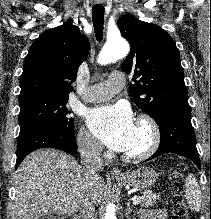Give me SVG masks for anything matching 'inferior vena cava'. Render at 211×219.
I'll list each match as a JSON object with an SVG mask.
<instances>
[{
    "label": "inferior vena cava",
    "mask_w": 211,
    "mask_h": 219,
    "mask_svg": "<svg viewBox=\"0 0 211 219\" xmlns=\"http://www.w3.org/2000/svg\"><path fill=\"white\" fill-rule=\"evenodd\" d=\"M79 152L86 177L93 179L96 173L103 169L101 144L95 142L91 138H86L80 142ZM79 218L96 219L94 205L87 201L84 202L80 208Z\"/></svg>",
    "instance_id": "inferior-vena-cava-1"
}]
</instances>
